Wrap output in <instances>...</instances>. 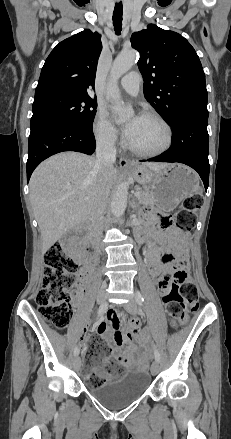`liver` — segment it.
<instances>
[{"instance_id":"6515ba94","label":"liver","mask_w":231,"mask_h":439,"mask_svg":"<svg viewBox=\"0 0 231 439\" xmlns=\"http://www.w3.org/2000/svg\"><path fill=\"white\" fill-rule=\"evenodd\" d=\"M95 162V157L82 153L62 152L42 162L33 172L29 182L30 200L40 228L43 254L90 217L100 180ZM168 165L143 164L153 171ZM118 173L114 166L109 170L110 189Z\"/></svg>"}]
</instances>
